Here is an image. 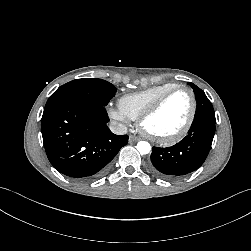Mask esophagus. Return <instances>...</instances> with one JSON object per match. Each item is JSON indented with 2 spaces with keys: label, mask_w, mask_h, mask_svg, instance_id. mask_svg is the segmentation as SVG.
Listing matches in <instances>:
<instances>
[{
  "label": "esophagus",
  "mask_w": 251,
  "mask_h": 251,
  "mask_svg": "<svg viewBox=\"0 0 251 251\" xmlns=\"http://www.w3.org/2000/svg\"><path fill=\"white\" fill-rule=\"evenodd\" d=\"M139 140H140V138L137 137V136H135V135H130V136H129V141H130V142H137V141H139Z\"/></svg>",
  "instance_id": "34e87169"
}]
</instances>
